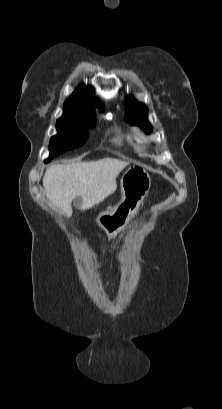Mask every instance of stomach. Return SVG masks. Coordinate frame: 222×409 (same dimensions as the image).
<instances>
[{
  "label": "stomach",
  "instance_id": "0dacf381",
  "mask_svg": "<svg viewBox=\"0 0 222 409\" xmlns=\"http://www.w3.org/2000/svg\"><path fill=\"white\" fill-rule=\"evenodd\" d=\"M122 199L110 213L100 215L99 225L108 233L122 229L135 215L151 187L149 173L138 166L127 169L120 181Z\"/></svg>",
  "mask_w": 222,
  "mask_h": 409
}]
</instances>
